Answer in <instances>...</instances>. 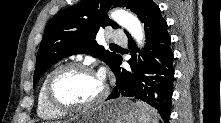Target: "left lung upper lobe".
<instances>
[{"label": "left lung upper lobe", "instance_id": "left-lung-upper-lobe-1", "mask_svg": "<svg viewBox=\"0 0 221 123\" xmlns=\"http://www.w3.org/2000/svg\"><path fill=\"white\" fill-rule=\"evenodd\" d=\"M150 1L152 0H82L56 14L46 26L37 54L34 87L52 64L79 53L98 57L112 68L119 55L115 51L105 50L95 40L100 28L119 27L106 13L112 7H126L139 18Z\"/></svg>", "mask_w": 221, "mask_h": 123}]
</instances>
